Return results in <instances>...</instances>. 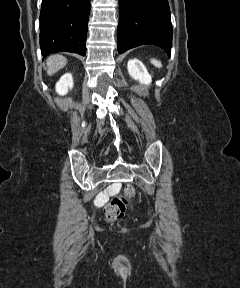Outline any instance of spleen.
Here are the masks:
<instances>
[{
	"mask_svg": "<svg viewBox=\"0 0 240 288\" xmlns=\"http://www.w3.org/2000/svg\"><path fill=\"white\" fill-rule=\"evenodd\" d=\"M151 62L158 68L162 67V63L158 61L157 59H151Z\"/></svg>",
	"mask_w": 240,
	"mask_h": 288,
	"instance_id": "spleen-1",
	"label": "spleen"
}]
</instances>
